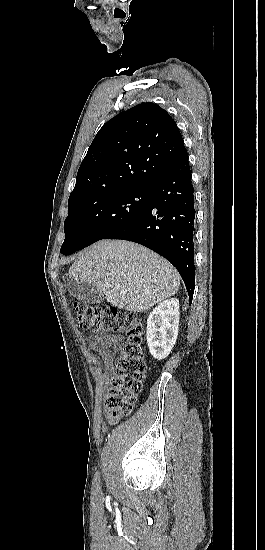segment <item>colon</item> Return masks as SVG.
I'll use <instances>...</instances> for the list:
<instances>
[{"label":"colon","mask_w":265,"mask_h":550,"mask_svg":"<svg viewBox=\"0 0 265 550\" xmlns=\"http://www.w3.org/2000/svg\"><path fill=\"white\" fill-rule=\"evenodd\" d=\"M74 310L78 323L84 330L127 336V341L120 348L115 360L114 377L105 402L108 419L115 424L121 417L132 412L142 390L145 377L143 320L134 312L94 307L82 302H75Z\"/></svg>","instance_id":"5ec220e1"}]
</instances>
